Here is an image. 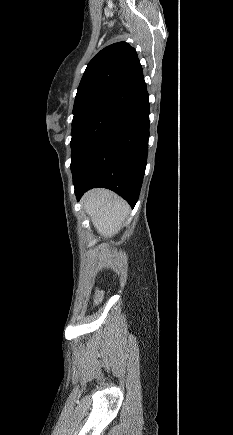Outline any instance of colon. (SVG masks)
Instances as JSON below:
<instances>
[{
  "label": "colon",
  "mask_w": 233,
  "mask_h": 435,
  "mask_svg": "<svg viewBox=\"0 0 233 435\" xmlns=\"http://www.w3.org/2000/svg\"><path fill=\"white\" fill-rule=\"evenodd\" d=\"M91 302L94 305H99L102 302V292L99 289H96L91 297Z\"/></svg>",
  "instance_id": "obj_1"
}]
</instances>
